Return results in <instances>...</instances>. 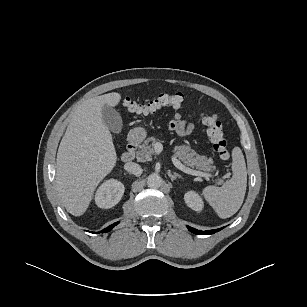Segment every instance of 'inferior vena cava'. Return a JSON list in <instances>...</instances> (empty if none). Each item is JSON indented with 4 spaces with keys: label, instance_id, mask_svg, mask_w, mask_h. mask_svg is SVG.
I'll return each mask as SVG.
<instances>
[{
    "label": "inferior vena cava",
    "instance_id": "602c4592",
    "mask_svg": "<svg viewBox=\"0 0 307 307\" xmlns=\"http://www.w3.org/2000/svg\"><path fill=\"white\" fill-rule=\"evenodd\" d=\"M125 170L129 173L134 174L135 176H140L142 174V168L139 164L134 162H128L124 165Z\"/></svg>",
    "mask_w": 307,
    "mask_h": 307
}]
</instances>
